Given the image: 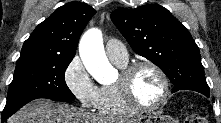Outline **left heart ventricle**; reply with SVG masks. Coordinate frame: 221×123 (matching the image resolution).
<instances>
[{
    "label": "left heart ventricle",
    "instance_id": "left-heart-ventricle-1",
    "mask_svg": "<svg viewBox=\"0 0 221 123\" xmlns=\"http://www.w3.org/2000/svg\"><path fill=\"white\" fill-rule=\"evenodd\" d=\"M132 92L136 100L144 106L156 104L163 92L159 75L151 68H142L132 79Z\"/></svg>",
    "mask_w": 221,
    "mask_h": 123
}]
</instances>
